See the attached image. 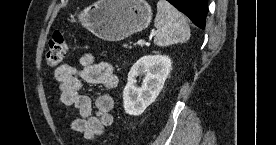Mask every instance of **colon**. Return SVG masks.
I'll return each mask as SVG.
<instances>
[{
    "instance_id": "obj_1",
    "label": "colon",
    "mask_w": 276,
    "mask_h": 145,
    "mask_svg": "<svg viewBox=\"0 0 276 145\" xmlns=\"http://www.w3.org/2000/svg\"><path fill=\"white\" fill-rule=\"evenodd\" d=\"M67 39L63 33L56 31L49 41L46 52V63L49 67H55L61 63L67 51Z\"/></svg>"
}]
</instances>
